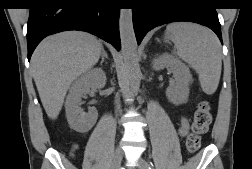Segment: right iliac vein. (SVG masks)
I'll return each mask as SVG.
<instances>
[{"instance_id": "1", "label": "right iliac vein", "mask_w": 252, "mask_h": 169, "mask_svg": "<svg viewBox=\"0 0 252 169\" xmlns=\"http://www.w3.org/2000/svg\"><path fill=\"white\" fill-rule=\"evenodd\" d=\"M123 158V152L121 148H117L115 150L114 158H113V164L111 169H120V164Z\"/></svg>"}]
</instances>
